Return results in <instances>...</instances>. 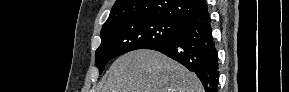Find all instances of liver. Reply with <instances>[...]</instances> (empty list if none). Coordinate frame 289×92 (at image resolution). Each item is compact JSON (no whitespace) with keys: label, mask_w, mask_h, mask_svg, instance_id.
<instances>
[{"label":"liver","mask_w":289,"mask_h":92,"mask_svg":"<svg viewBox=\"0 0 289 92\" xmlns=\"http://www.w3.org/2000/svg\"><path fill=\"white\" fill-rule=\"evenodd\" d=\"M101 92H204L195 73L160 52L139 49L117 58Z\"/></svg>","instance_id":"1"}]
</instances>
